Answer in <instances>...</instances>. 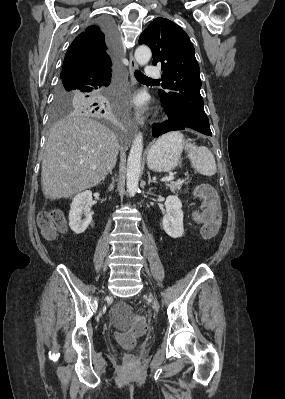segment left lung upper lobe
Listing matches in <instances>:
<instances>
[{
    "label": "left lung upper lobe",
    "instance_id": "left-lung-upper-lobe-1",
    "mask_svg": "<svg viewBox=\"0 0 285 399\" xmlns=\"http://www.w3.org/2000/svg\"><path fill=\"white\" fill-rule=\"evenodd\" d=\"M153 53V64L161 65V102L168 105L173 117L190 124L197 131L212 135L200 94V69L194 47L185 33L174 22L156 18L139 38Z\"/></svg>",
    "mask_w": 285,
    "mask_h": 399
}]
</instances>
